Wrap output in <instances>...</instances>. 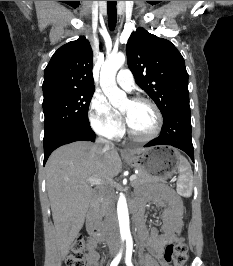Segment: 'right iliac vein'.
Wrapping results in <instances>:
<instances>
[{"mask_svg": "<svg viewBox=\"0 0 233 266\" xmlns=\"http://www.w3.org/2000/svg\"><path fill=\"white\" fill-rule=\"evenodd\" d=\"M114 253H115V252L113 251L111 254L114 255Z\"/></svg>", "mask_w": 233, "mask_h": 266, "instance_id": "obj_1", "label": "right iliac vein"}]
</instances>
